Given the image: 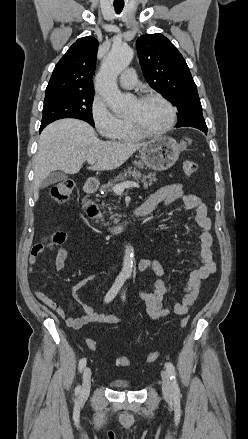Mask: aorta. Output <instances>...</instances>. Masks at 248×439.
<instances>
[{"instance_id": "1", "label": "aorta", "mask_w": 248, "mask_h": 439, "mask_svg": "<svg viewBox=\"0 0 248 439\" xmlns=\"http://www.w3.org/2000/svg\"><path fill=\"white\" fill-rule=\"evenodd\" d=\"M134 52L127 45L113 46L105 58L96 82L100 95L114 113H123L128 110L131 97L121 93L117 86V77L128 67ZM133 248L126 245L123 258L122 273L130 276L133 270Z\"/></svg>"}]
</instances>
